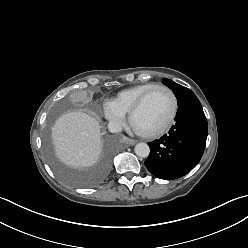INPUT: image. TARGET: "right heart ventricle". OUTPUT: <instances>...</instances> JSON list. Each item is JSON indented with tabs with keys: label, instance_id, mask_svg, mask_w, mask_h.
<instances>
[{
	"label": "right heart ventricle",
	"instance_id": "right-heart-ventricle-1",
	"mask_svg": "<svg viewBox=\"0 0 248 248\" xmlns=\"http://www.w3.org/2000/svg\"><path fill=\"white\" fill-rule=\"evenodd\" d=\"M156 85L157 84L155 83H144L129 87L120 91L111 100L110 103L115 107L116 110H118L123 115H126L129 113L140 96Z\"/></svg>",
	"mask_w": 248,
	"mask_h": 248
}]
</instances>
